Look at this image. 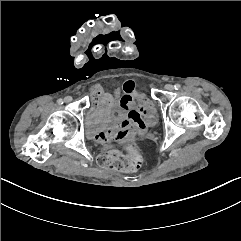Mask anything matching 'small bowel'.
<instances>
[{
  "label": "small bowel",
  "instance_id": "small-bowel-1",
  "mask_svg": "<svg viewBox=\"0 0 241 241\" xmlns=\"http://www.w3.org/2000/svg\"><path fill=\"white\" fill-rule=\"evenodd\" d=\"M94 101L93 116L99 127L89 136L100 143L120 144L133 140H144L149 127L158 122L157 110L146 92L136 94L133 81L123 84V95L116 104L113 97L99 87L91 89ZM138 98L139 103L135 102Z\"/></svg>",
  "mask_w": 241,
  "mask_h": 241
}]
</instances>
